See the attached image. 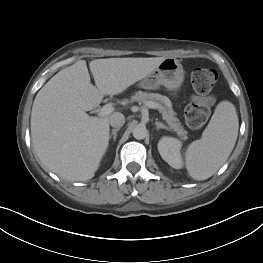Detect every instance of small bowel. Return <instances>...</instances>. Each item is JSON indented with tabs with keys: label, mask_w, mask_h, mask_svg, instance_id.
I'll return each instance as SVG.
<instances>
[{
	"label": "small bowel",
	"mask_w": 263,
	"mask_h": 263,
	"mask_svg": "<svg viewBox=\"0 0 263 263\" xmlns=\"http://www.w3.org/2000/svg\"><path fill=\"white\" fill-rule=\"evenodd\" d=\"M194 100H195V101H198V100H199V98H195Z\"/></svg>",
	"instance_id": "obj_1"
}]
</instances>
